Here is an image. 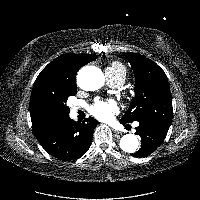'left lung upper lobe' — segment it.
Listing matches in <instances>:
<instances>
[{"mask_svg": "<svg viewBox=\"0 0 200 200\" xmlns=\"http://www.w3.org/2000/svg\"><path fill=\"white\" fill-rule=\"evenodd\" d=\"M134 72L135 98L122 117L126 123L154 121L170 125L173 108L167 76L153 61L137 53H124Z\"/></svg>", "mask_w": 200, "mask_h": 200, "instance_id": "1", "label": "left lung upper lobe"}]
</instances>
